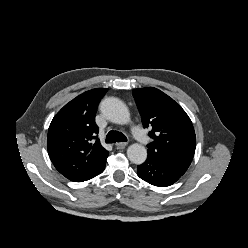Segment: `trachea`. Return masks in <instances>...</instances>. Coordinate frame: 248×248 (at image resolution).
I'll use <instances>...</instances> for the list:
<instances>
[{
  "label": "trachea",
  "mask_w": 248,
  "mask_h": 248,
  "mask_svg": "<svg viewBox=\"0 0 248 248\" xmlns=\"http://www.w3.org/2000/svg\"><path fill=\"white\" fill-rule=\"evenodd\" d=\"M125 141H127L126 136L118 131H110L106 136L107 143L125 142Z\"/></svg>",
  "instance_id": "obj_1"
}]
</instances>
